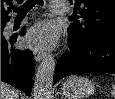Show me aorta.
I'll list each match as a JSON object with an SVG mask.
<instances>
[{"mask_svg": "<svg viewBox=\"0 0 115 99\" xmlns=\"http://www.w3.org/2000/svg\"><path fill=\"white\" fill-rule=\"evenodd\" d=\"M55 60L46 56L38 67L34 83V99H51Z\"/></svg>", "mask_w": 115, "mask_h": 99, "instance_id": "762f6f07", "label": "aorta"}]
</instances>
